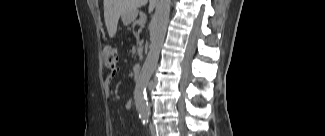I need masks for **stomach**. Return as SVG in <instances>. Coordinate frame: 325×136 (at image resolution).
I'll return each instance as SVG.
<instances>
[{
    "label": "stomach",
    "instance_id": "0dacf381",
    "mask_svg": "<svg viewBox=\"0 0 325 136\" xmlns=\"http://www.w3.org/2000/svg\"><path fill=\"white\" fill-rule=\"evenodd\" d=\"M136 16H137V13L132 12V13L122 16V20L125 24H129L135 20Z\"/></svg>",
    "mask_w": 325,
    "mask_h": 136
}]
</instances>
